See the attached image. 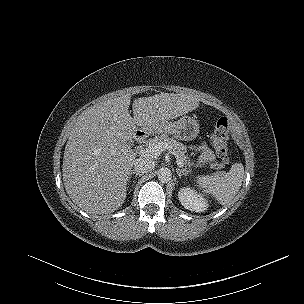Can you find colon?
I'll return each mask as SVG.
<instances>
[{
	"mask_svg": "<svg viewBox=\"0 0 304 304\" xmlns=\"http://www.w3.org/2000/svg\"><path fill=\"white\" fill-rule=\"evenodd\" d=\"M229 122L227 118H220L212 132L211 140L214 150L218 157L223 161H229V148H228V134H229Z\"/></svg>",
	"mask_w": 304,
	"mask_h": 304,
	"instance_id": "obj_1",
	"label": "colon"
}]
</instances>
